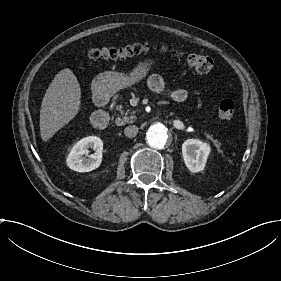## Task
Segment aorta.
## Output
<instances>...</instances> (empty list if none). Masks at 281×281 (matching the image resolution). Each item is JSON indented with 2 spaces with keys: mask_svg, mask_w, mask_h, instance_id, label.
Masks as SVG:
<instances>
[{
  "mask_svg": "<svg viewBox=\"0 0 281 281\" xmlns=\"http://www.w3.org/2000/svg\"><path fill=\"white\" fill-rule=\"evenodd\" d=\"M168 129L162 123H155L150 126L146 133L147 143L150 147L162 149L169 141Z\"/></svg>",
  "mask_w": 281,
  "mask_h": 281,
  "instance_id": "obj_1",
  "label": "aorta"
}]
</instances>
